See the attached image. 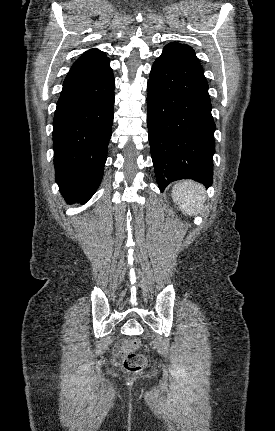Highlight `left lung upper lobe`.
Listing matches in <instances>:
<instances>
[{
  "label": "left lung upper lobe",
  "mask_w": 275,
  "mask_h": 431,
  "mask_svg": "<svg viewBox=\"0 0 275 431\" xmlns=\"http://www.w3.org/2000/svg\"><path fill=\"white\" fill-rule=\"evenodd\" d=\"M169 45H175V46H178V47L184 49L185 51H187L194 58V60H196L200 64V62L198 61V59H197V57L195 55L194 50L190 46H188L186 44H179V43H176V42L170 43Z\"/></svg>",
  "instance_id": "5c2ea615"
}]
</instances>
